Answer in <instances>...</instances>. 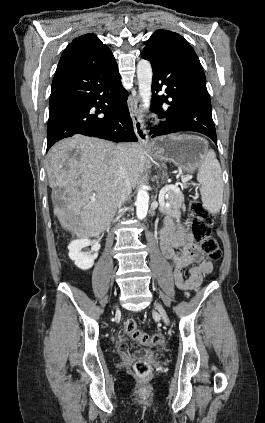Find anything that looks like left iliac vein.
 <instances>
[{"instance_id": "left-iliac-vein-1", "label": "left iliac vein", "mask_w": 265, "mask_h": 423, "mask_svg": "<svg viewBox=\"0 0 265 423\" xmlns=\"http://www.w3.org/2000/svg\"><path fill=\"white\" fill-rule=\"evenodd\" d=\"M155 308L158 310V312L160 313V315H161V318L163 319V321L166 323V324H169L170 323V321H169V318H168V316H167V314H166V312H165V310H164V308L159 304V303H156L155 304Z\"/></svg>"}]
</instances>
